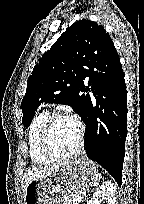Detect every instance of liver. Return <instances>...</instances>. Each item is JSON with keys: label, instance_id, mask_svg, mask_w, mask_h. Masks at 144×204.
<instances>
[{"label": "liver", "instance_id": "6515ba94", "mask_svg": "<svg viewBox=\"0 0 144 204\" xmlns=\"http://www.w3.org/2000/svg\"><path fill=\"white\" fill-rule=\"evenodd\" d=\"M62 165L33 167L26 171L22 179V190L25 193L28 184L37 178L46 177L50 173L57 171Z\"/></svg>", "mask_w": 144, "mask_h": 204}]
</instances>
